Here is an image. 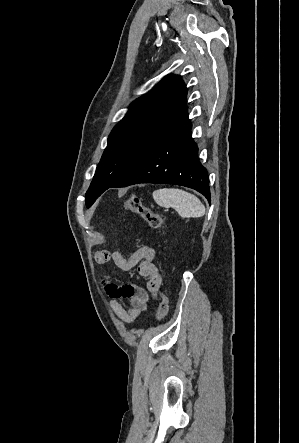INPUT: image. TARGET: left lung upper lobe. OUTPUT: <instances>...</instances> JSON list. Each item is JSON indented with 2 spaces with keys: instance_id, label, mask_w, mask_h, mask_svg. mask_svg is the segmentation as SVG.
I'll use <instances>...</instances> for the list:
<instances>
[{
  "instance_id": "left-lung-upper-lobe-1",
  "label": "left lung upper lobe",
  "mask_w": 299,
  "mask_h": 443,
  "mask_svg": "<svg viewBox=\"0 0 299 443\" xmlns=\"http://www.w3.org/2000/svg\"><path fill=\"white\" fill-rule=\"evenodd\" d=\"M187 90L180 76H165L136 99L113 128L86 193V206L119 180L150 148L187 117Z\"/></svg>"
}]
</instances>
